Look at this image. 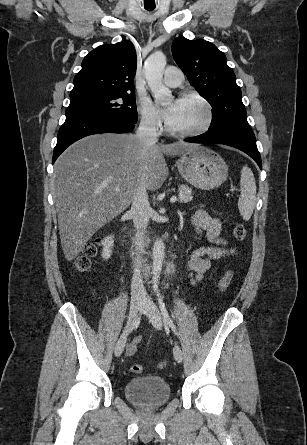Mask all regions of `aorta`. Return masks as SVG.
Listing matches in <instances>:
<instances>
[{"label": "aorta", "instance_id": "762f6f07", "mask_svg": "<svg viewBox=\"0 0 307 445\" xmlns=\"http://www.w3.org/2000/svg\"><path fill=\"white\" fill-rule=\"evenodd\" d=\"M167 64V58L162 50H156L150 54L144 62V72L147 84L154 96L155 102L160 104H170L172 92L168 86L162 82L164 68ZM165 257V245L161 239H156L153 245V263H152V289H158L160 273L163 267Z\"/></svg>", "mask_w": 307, "mask_h": 445}]
</instances>
